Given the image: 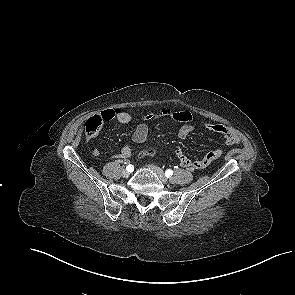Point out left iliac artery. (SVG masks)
<instances>
[{"instance_id":"44dca946","label":"left iliac artery","mask_w":295,"mask_h":295,"mask_svg":"<svg viewBox=\"0 0 295 295\" xmlns=\"http://www.w3.org/2000/svg\"><path fill=\"white\" fill-rule=\"evenodd\" d=\"M172 175H173V171H172V170L168 169V170L165 171V176H166V177L169 178V177H171Z\"/></svg>"}]
</instances>
